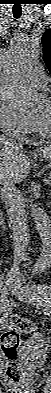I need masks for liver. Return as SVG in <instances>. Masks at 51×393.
Here are the masks:
<instances>
[{
	"instance_id": "liver-1",
	"label": "liver",
	"mask_w": 51,
	"mask_h": 393,
	"mask_svg": "<svg viewBox=\"0 0 51 393\" xmlns=\"http://www.w3.org/2000/svg\"><path fill=\"white\" fill-rule=\"evenodd\" d=\"M43 160L50 159L51 147L50 145L40 148L37 153ZM37 153L27 154L22 148H17L15 142L8 139L4 135L0 136V183L14 182L19 183L23 181L29 174L32 168L37 164L33 162L32 158L37 156Z\"/></svg>"
}]
</instances>
